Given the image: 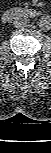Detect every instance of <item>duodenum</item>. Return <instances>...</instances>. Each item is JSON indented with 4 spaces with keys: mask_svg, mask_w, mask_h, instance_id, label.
<instances>
[{
    "mask_svg": "<svg viewBox=\"0 0 51 153\" xmlns=\"http://www.w3.org/2000/svg\"><path fill=\"white\" fill-rule=\"evenodd\" d=\"M39 12L36 9L14 7L6 10L2 19L4 22H9L16 17H36Z\"/></svg>",
    "mask_w": 51,
    "mask_h": 153,
    "instance_id": "duodenum-1",
    "label": "duodenum"
}]
</instances>
